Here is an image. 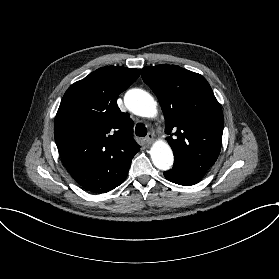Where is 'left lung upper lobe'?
Instances as JSON below:
<instances>
[{
	"instance_id": "obj_1",
	"label": "left lung upper lobe",
	"mask_w": 279,
	"mask_h": 279,
	"mask_svg": "<svg viewBox=\"0 0 279 279\" xmlns=\"http://www.w3.org/2000/svg\"><path fill=\"white\" fill-rule=\"evenodd\" d=\"M142 78L160 101L174 165L206 173L219 156L224 126L221 106L209 83L202 75L175 65L144 67Z\"/></svg>"
}]
</instances>
